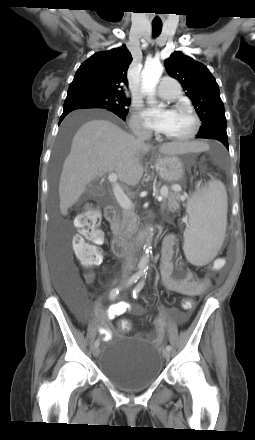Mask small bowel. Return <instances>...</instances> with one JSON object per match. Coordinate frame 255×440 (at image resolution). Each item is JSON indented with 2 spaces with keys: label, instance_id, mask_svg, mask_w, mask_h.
Here are the masks:
<instances>
[{
  "label": "small bowel",
  "instance_id": "obj_1",
  "mask_svg": "<svg viewBox=\"0 0 255 440\" xmlns=\"http://www.w3.org/2000/svg\"><path fill=\"white\" fill-rule=\"evenodd\" d=\"M175 243L176 237L174 234H168L165 236L162 243L160 265L162 283L168 291L188 297L200 296L207 290L209 286L207 281H198L194 279L190 273L181 268H179V270L183 272V277L175 278L173 276L174 265L172 258L174 255ZM141 311V307L132 306L127 302H118L115 305H112L109 309L105 310L103 315L106 321H110L115 317L127 312L138 313ZM99 333L103 335L105 340H109L111 338V330L109 326L100 327Z\"/></svg>",
  "mask_w": 255,
  "mask_h": 440
}]
</instances>
